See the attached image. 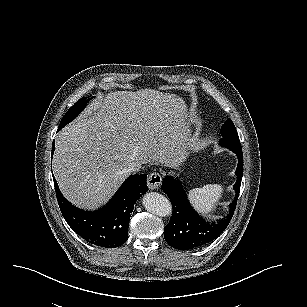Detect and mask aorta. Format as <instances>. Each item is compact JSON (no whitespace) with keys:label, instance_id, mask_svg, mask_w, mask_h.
<instances>
[{"label":"aorta","instance_id":"1","mask_svg":"<svg viewBox=\"0 0 307 307\" xmlns=\"http://www.w3.org/2000/svg\"><path fill=\"white\" fill-rule=\"evenodd\" d=\"M142 204L148 212L159 217L172 214V205L169 199L157 192L146 193L142 198Z\"/></svg>","mask_w":307,"mask_h":307}]
</instances>
